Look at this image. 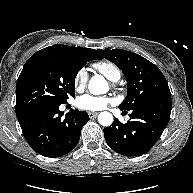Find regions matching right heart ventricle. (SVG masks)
<instances>
[{
	"label": "right heart ventricle",
	"mask_w": 193,
	"mask_h": 193,
	"mask_svg": "<svg viewBox=\"0 0 193 193\" xmlns=\"http://www.w3.org/2000/svg\"><path fill=\"white\" fill-rule=\"evenodd\" d=\"M93 67L111 81H118L121 77V70L113 62L100 61L93 64Z\"/></svg>",
	"instance_id": "1"
}]
</instances>
